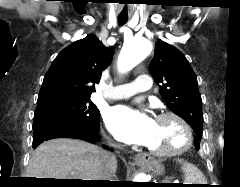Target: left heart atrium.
Segmentation results:
<instances>
[{"mask_svg": "<svg viewBox=\"0 0 240 187\" xmlns=\"http://www.w3.org/2000/svg\"><path fill=\"white\" fill-rule=\"evenodd\" d=\"M105 122L118 140L145 146L152 142L157 125L147 114L138 113L126 106L111 108L105 116Z\"/></svg>", "mask_w": 240, "mask_h": 187, "instance_id": "39dd6f15", "label": "left heart atrium"}]
</instances>
